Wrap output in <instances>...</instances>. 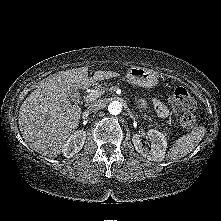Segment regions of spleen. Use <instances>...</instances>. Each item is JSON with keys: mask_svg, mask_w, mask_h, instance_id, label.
Masks as SVG:
<instances>
[{"mask_svg": "<svg viewBox=\"0 0 221 221\" xmlns=\"http://www.w3.org/2000/svg\"><path fill=\"white\" fill-rule=\"evenodd\" d=\"M205 128L199 127L193 130L191 133L183 135L173 144L172 148L168 152V160H178L185 157L190 153L197 144L202 140L205 135Z\"/></svg>", "mask_w": 221, "mask_h": 221, "instance_id": "3e777b00", "label": "spleen"}]
</instances>
